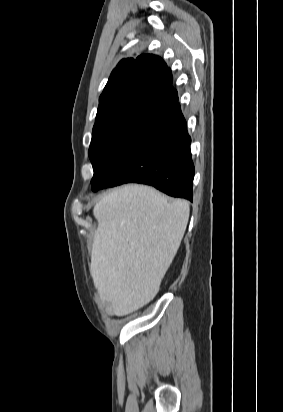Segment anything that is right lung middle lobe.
Listing matches in <instances>:
<instances>
[{
	"mask_svg": "<svg viewBox=\"0 0 283 412\" xmlns=\"http://www.w3.org/2000/svg\"><path fill=\"white\" fill-rule=\"evenodd\" d=\"M163 114L162 111L122 113L95 120L88 152L94 170L91 184L104 175Z\"/></svg>",
	"mask_w": 283,
	"mask_h": 412,
	"instance_id": "1",
	"label": "right lung middle lobe"
}]
</instances>
